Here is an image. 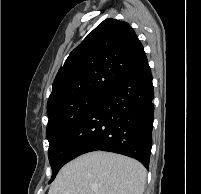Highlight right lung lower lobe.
I'll list each match as a JSON object with an SVG mask.
<instances>
[{
	"mask_svg": "<svg viewBox=\"0 0 201 194\" xmlns=\"http://www.w3.org/2000/svg\"><path fill=\"white\" fill-rule=\"evenodd\" d=\"M154 89L147 58L108 89L63 137L53 156L58 168L91 151L123 154L149 166Z\"/></svg>",
	"mask_w": 201,
	"mask_h": 194,
	"instance_id": "1",
	"label": "right lung lower lobe"
}]
</instances>
